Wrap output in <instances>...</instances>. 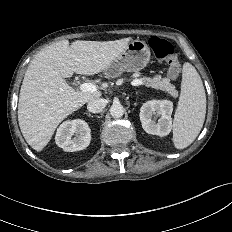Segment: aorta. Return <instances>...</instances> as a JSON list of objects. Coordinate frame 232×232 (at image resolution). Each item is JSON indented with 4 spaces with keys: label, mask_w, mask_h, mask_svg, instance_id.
Segmentation results:
<instances>
[{
    "label": "aorta",
    "mask_w": 232,
    "mask_h": 232,
    "mask_svg": "<svg viewBox=\"0 0 232 232\" xmlns=\"http://www.w3.org/2000/svg\"><path fill=\"white\" fill-rule=\"evenodd\" d=\"M110 114L113 118H120L124 114V107L120 103H114L110 107Z\"/></svg>",
    "instance_id": "obj_1"
}]
</instances>
